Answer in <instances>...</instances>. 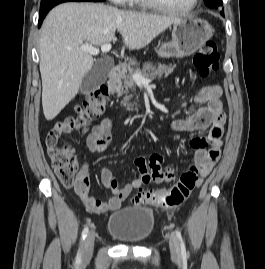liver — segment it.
Returning a JSON list of instances; mask_svg holds the SVG:
<instances>
[{
    "mask_svg": "<svg viewBox=\"0 0 265 269\" xmlns=\"http://www.w3.org/2000/svg\"><path fill=\"white\" fill-rule=\"evenodd\" d=\"M178 20L97 3H63L53 8L39 40L45 118L50 121L61 112L92 69L94 59L81 46L110 43L117 31L129 50H138Z\"/></svg>",
    "mask_w": 265,
    "mask_h": 269,
    "instance_id": "obj_1",
    "label": "liver"
}]
</instances>
